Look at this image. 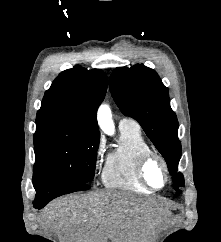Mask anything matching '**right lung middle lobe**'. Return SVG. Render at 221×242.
<instances>
[{
  "mask_svg": "<svg viewBox=\"0 0 221 242\" xmlns=\"http://www.w3.org/2000/svg\"><path fill=\"white\" fill-rule=\"evenodd\" d=\"M100 135L71 126L37 127L33 180L88 183L95 175Z\"/></svg>",
  "mask_w": 221,
  "mask_h": 242,
  "instance_id": "right-lung-middle-lobe-1",
  "label": "right lung middle lobe"
}]
</instances>
